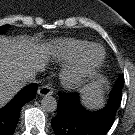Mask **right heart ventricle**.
I'll use <instances>...</instances> for the list:
<instances>
[{
  "label": "right heart ventricle",
  "mask_w": 135,
  "mask_h": 135,
  "mask_svg": "<svg viewBox=\"0 0 135 135\" xmlns=\"http://www.w3.org/2000/svg\"><path fill=\"white\" fill-rule=\"evenodd\" d=\"M89 43L84 40L58 41L54 47V55L58 58L73 59L81 56Z\"/></svg>",
  "instance_id": "right-heart-ventricle-1"
}]
</instances>
